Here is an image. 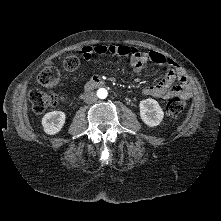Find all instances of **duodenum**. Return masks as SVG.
<instances>
[{"label":"duodenum","instance_id":"1","mask_svg":"<svg viewBox=\"0 0 221 221\" xmlns=\"http://www.w3.org/2000/svg\"><path fill=\"white\" fill-rule=\"evenodd\" d=\"M106 85V81L100 76H93L85 85L86 90H91Z\"/></svg>","mask_w":221,"mask_h":221}]
</instances>
